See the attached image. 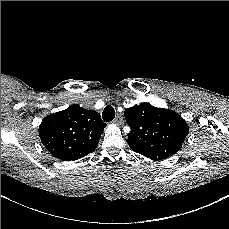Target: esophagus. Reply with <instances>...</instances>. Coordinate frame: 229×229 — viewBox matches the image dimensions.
<instances>
[{
  "instance_id": "34e87169",
  "label": "esophagus",
  "mask_w": 229,
  "mask_h": 229,
  "mask_svg": "<svg viewBox=\"0 0 229 229\" xmlns=\"http://www.w3.org/2000/svg\"><path fill=\"white\" fill-rule=\"evenodd\" d=\"M113 123L116 125H122L123 124V118L121 115L116 116V118L113 120Z\"/></svg>"
}]
</instances>
